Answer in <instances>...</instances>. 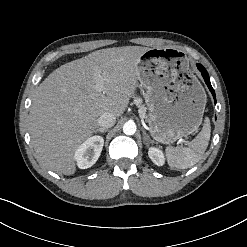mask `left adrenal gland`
Returning a JSON list of instances; mask_svg holds the SVG:
<instances>
[{"label":"left adrenal gland","mask_w":247,"mask_h":247,"mask_svg":"<svg viewBox=\"0 0 247 247\" xmlns=\"http://www.w3.org/2000/svg\"><path fill=\"white\" fill-rule=\"evenodd\" d=\"M143 140L146 146H148V142H149V136L146 134V132L143 130Z\"/></svg>","instance_id":"a2214340"}]
</instances>
